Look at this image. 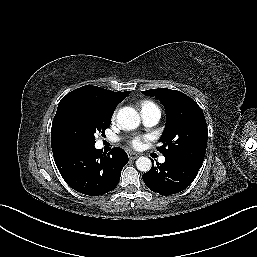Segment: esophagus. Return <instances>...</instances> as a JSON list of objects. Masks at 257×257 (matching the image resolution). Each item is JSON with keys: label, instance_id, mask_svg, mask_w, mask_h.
I'll use <instances>...</instances> for the list:
<instances>
[{"label": "esophagus", "instance_id": "34e87169", "mask_svg": "<svg viewBox=\"0 0 257 257\" xmlns=\"http://www.w3.org/2000/svg\"><path fill=\"white\" fill-rule=\"evenodd\" d=\"M128 157H129V159L134 160V159L138 158L139 155L137 153H134V152H129Z\"/></svg>", "mask_w": 257, "mask_h": 257}]
</instances>
